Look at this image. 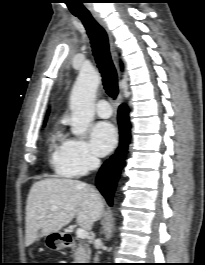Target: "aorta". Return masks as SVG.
<instances>
[{"mask_svg":"<svg viewBox=\"0 0 205 265\" xmlns=\"http://www.w3.org/2000/svg\"><path fill=\"white\" fill-rule=\"evenodd\" d=\"M100 76L94 69L82 68L70 96L71 131L83 135L94 118L95 96Z\"/></svg>","mask_w":205,"mask_h":265,"instance_id":"obj_1","label":"aorta"}]
</instances>
